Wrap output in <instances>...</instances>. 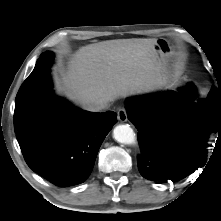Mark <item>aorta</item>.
Segmentation results:
<instances>
[{"mask_svg": "<svg viewBox=\"0 0 221 221\" xmlns=\"http://www.w3.org/2000/svg\"><path fill=\"white\" fill-rule=\"evenodd\" d=\"M114 139L122 144H134L136 141L133 129L127 124L117 125L113 130Z\"/></svg>", "mask_w": 221, "mask_h": 221, "instance_id": "obj_1", "label": "aorta"}]
</instances>
